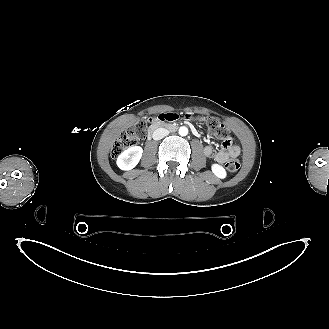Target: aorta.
I'll list each match as a JSON object with an SVG mask.
<instances>
[{
	"label": "aorta",
	"instance_id": "aorta-1",
	"mask_svg": "<svg viewBox=\"0 0 329 329\" xmlns=\"http://www.w3.org/2000/svg\"><path fill=\"white\" fill-rule=\"evenodd\" d=\"M188 134V128L185 126H182L179 128V135L186 136Z\"/></svg>",
	"mask_w": 329,
	"mask_h": 329
}]
</instances>
